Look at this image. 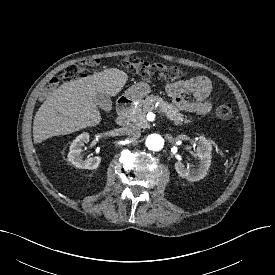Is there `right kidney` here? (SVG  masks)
Instances as JSON below:
<instances>
[{
	"label": "right kidney",
	"instance_id": "obj_1",
	"mask_svg": "<svg viewBox=\"0 0 275 275\" xmlns=\"http://www.w3.org/2000/svg\"><path fill=\"white\" fill-rule=\"evenodd\" d=\"M87 142H89V134L87 132H84L77 136L70 145L68 161L77 168L93 170L99 166L102 158L99 156H95L93 158L83 160V157L81 156L82 147Z\"/></svg>",
	"mask_w": 275,
	"mask_h": 275
}]
</instances>
